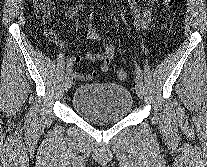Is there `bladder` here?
Masks as SVG:
<instances>
[{
    "label": "bladder",
    "mask_w": 207,
    "mask_h": 167,
    "mask_svg": "<svg viewBox=\"0 0 207 167\" xmlns=\"http://www.w3.org/2000/svg\"><path fill=\"white\" fill-rule=\"evenodd\" d=\"M72 105L84 119L115 123L129 115L133 97L127 87L116 83H87L77 88Z\"/></svg>",
    "instance_id": "obj_1"
}]
</instances>
